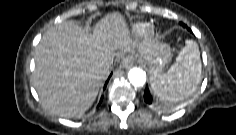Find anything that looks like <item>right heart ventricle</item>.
<instances>
[{"instance_id": "obj_1", "label": "right heart ventricle", "mask_w": 236, "mask_h": 135, "mask_svg": "<svg viewBox=\"0 0 236 135\" xmlns=\"http://www.w3.org/2000/svg\"><path fill=\"white\" fill-rule=\"evenodd\" d=\"M145 24L144 23H135L131 27V31L134 34H140L145 30Z\"/></svg>"}]
</instances>
